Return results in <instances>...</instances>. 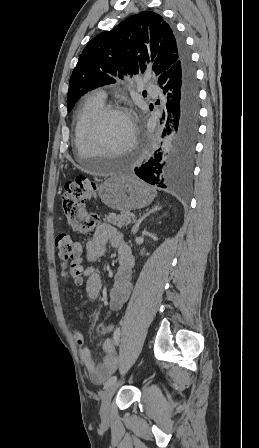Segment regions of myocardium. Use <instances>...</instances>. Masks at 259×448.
I'll list each match as a JSON object with an SVG mask.
<instances>
[{"instance_id": "1", "label": "myocardium", "mask_w": 259, "mask_h": 448, "mask_svg": "<svg viewBox=\"0 0 259 448\" xmlns=\"http://www.w3.org/2000/svg\"><path fill=\"white\" fill-rule=\"evenodd\" d=\"M120 115L126 118L133 130L132 140L129 147L126 150L132 149L137 143V130L133 125L129 114L126 112L123 106L116 104L104 105L86 124L83 131V145L86 149H105L97 142V132L101 123L109 116ZM124 150V151H126ZM123 151V152H124ZM78 163H83V153L79 151L77 154ZM92 171V170H87ZM98 171V170H97Z\"/></svg>"}]
</instances>
